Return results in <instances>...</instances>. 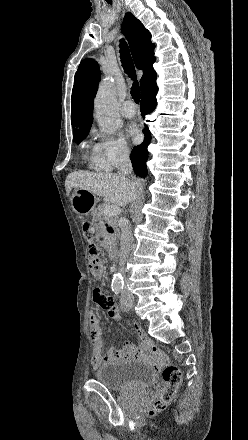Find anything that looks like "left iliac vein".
Instances as JSON below:
<instances>
[{"instance_id": "left-iliac-vein-1", "label": "left iliac vein", "mask_w": 248, "mask_h": 440, "mask_svg": "<svg viewBox=\"0 0 248 440\" xmlns=\"http://www.w3.org/2000/svg\"><path fill=\"white\" fill-rule=\"evenodd\" d=\"M121 307H122V310H123V311H126V312H127V311L129 310V307L126 305L124 299L121 301Z\"/></svg>"}]
</instances>
